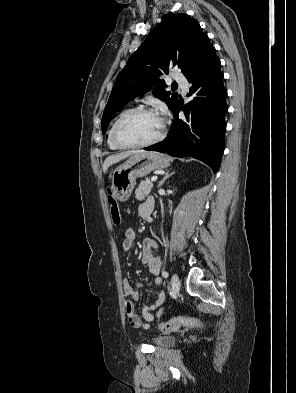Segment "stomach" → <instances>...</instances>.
<instances>
[{
	"label": "stomach",
	"instance_id": "obj_1",
	"mask_svg": "<svg viewBox=\"0 0 296 393\" xmlns=\"http://www.w3.org/2000/svg\"><path fill=\"white\" fill-rule=\"evenodd\" d=\"M169 166L170 158L162 153L143 152L132 155L112 173L113 195L119 201H127L136 185V178Z\"/></svg>",
	"mask_w": 296,
	"mask_h": 393
}]
</instances>
